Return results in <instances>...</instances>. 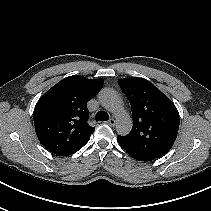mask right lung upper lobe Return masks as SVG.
I'll list each match as a JSON object with an SVG mask.
<instances>
[{
    "instance_id": "cb5924a9",
    "label": "right lung upper lobe",
    "mask_w": 211,
    "mask_h": 211,
    "mask_svg": "<svg viewBox=\"0 0 211 211\" xmlns=\"http://www.w3.org/2000/svg\"><path fill=\"white\" fill-rule=\"evenodd\" d=\"M103 79L69 76L50 88L34 108V126L39 141L57 156L81 149L95 131L87 123V102L102 88Z\"/></svg>"
}]
</instances>
